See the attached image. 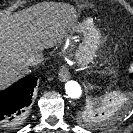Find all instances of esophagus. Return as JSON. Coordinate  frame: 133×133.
Here are the masks:
<instances>
[{
    "label": "esophagus",
    "instance_id": "esophagus-1",
    "mask_svg": "<svg viewBox=\"0 0 133 133\" xmlns=\"http://www.w3.org/2000/svg\"><path fill=\"white\" fill-rule=\"evenodd\" d=\"M70 78V72L69 69L66 66H62L59 73H58V79L61 82H65Z\"/></svg>",
    "mask_w": 133,
    "mask_h": 133
}]
</instances>
